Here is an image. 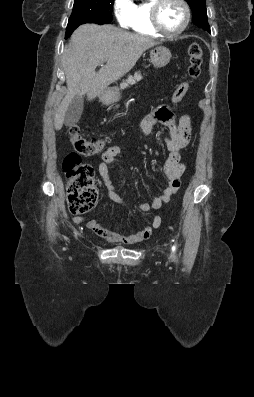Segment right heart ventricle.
<instances>
[{
    "label": "right heart ventricle",
    "instance_id": "e07e8e85",
    "mask_svg": "<svg viewBox=\"0 0 254 397\" xmlns=\"http://www.w3.org/2000/svg\"><path fill=\"white\" fill-rule=\"evenodd\" d=\"M152 2L153 0H142L133 3L132 16L129 24L133 32L152 37L159 36L151 24L150 9Z\"/></svg>",
    "mask_w": 254,
    "mask_h": 397
}]
</instances>
